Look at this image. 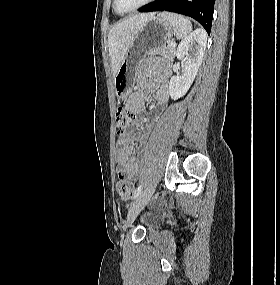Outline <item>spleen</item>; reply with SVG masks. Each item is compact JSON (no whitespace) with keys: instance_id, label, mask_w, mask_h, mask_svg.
I'll use <instances>...</instances> for the list:
<instances>
[{"instance_id":"1","label":"spleen","mask_w":280,"mask_h":285,"mask_svg":"<svg viewBox=\"0 0 280 285\" xmlns=\"http://www.w3.org/2000/svg\"><path fill=\"white\" fill-rule=\"evenodd\" d=\"M160 15L173 25L177 39L184 38L192 30L190 20L182 15L168 12H163Z\"/></svg>"}]
</instances>
